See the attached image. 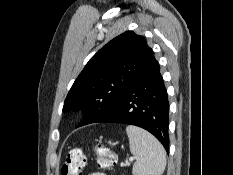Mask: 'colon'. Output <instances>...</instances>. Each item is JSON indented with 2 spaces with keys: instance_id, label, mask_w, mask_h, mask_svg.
I'll list each match as a JSON object with an SVG mask.
<instances>
[{
  "instance_id": "obj_1",
  "label": "colon",
  "mask_w": 233,
  "mask_h": 175,
  "mask_svg": "<svg viewBox=\"0 0 233 175\" xmlns=\"http://www.w3.org/2000/svg\"><path fill=\"white\" fill-rule=\"evenodd\" d=\"M100 168L112 169L116 165V156L103 144L95 147ZM86 165V156L82 148L71 149L61 166V175H82Z\"/></svg>"
}]
</instances>
